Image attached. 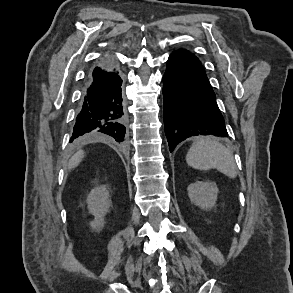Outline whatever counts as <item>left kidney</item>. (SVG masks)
<instances>
[{"label":"left kidney","instance_id":"1","mask_svg":"<svg viewBox=\"0 0 293 293\" xmlns=\"http://www.w3.org/2000/svg\"><path fill=\"white\" fill-rule=\"evenodd\" d=\"M187 191L192 203L208 210L214 207L219 189L214 182L196 181L188 186Z\"/></svg>","mask_w":293,"mask_h":293}]
</instances>
